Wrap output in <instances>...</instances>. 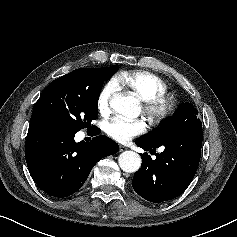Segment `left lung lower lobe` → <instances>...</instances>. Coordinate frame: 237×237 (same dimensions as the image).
<instances>
[{
  "label": "left lung lower lobe",
  "instance_id": "obj_1",
  "mask_svg": "<svg viewBox=\"0 0 237 237\" xmlns=\"http://www.w3.org/2000/svg\"><path fill=\"white\" fill-rule=\"evenodd\" d=\"M200 119L191 123L176 137L154 145L141 138L135 143L145 151L156 152L160 146L164 151L155 160L147 152L140 154L142 167L132 180L134 191L142 198L155 203L169 201L179 196L189 186L197 171L202 144Z\"/></svg>",
  "mask_w": 237,
  "mask_h": 237
}]
</instances>
